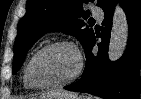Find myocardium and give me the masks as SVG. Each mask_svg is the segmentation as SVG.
Returning a JSON list of instances; mask_svg holds the SVG:
<instances>
[{"instance_id":"f54148a6","label":"myocardium","mask_w":141,"mask_h":99,"mask_svg":"<svg viewBox=\"0 0 141 99\" xmlns=\"http://www.w3.org/2000/svg\"><path fill=\"white\" fill-rule=\"evenodd\" d=\"M56 47H68L74 51V53L76 54V57H77V62H78V66H77L76 71L74 72V74L72 76H70L69 78H67L63 81H60V82L48 83V84H42V83L36 82L32 76V68H33L35 61L44 52H46L47 50H50L52 48H56ZM83 70H84V60H83L82 54H81L80 50L78 49V47L71 41L60 40V41H55V42H52V43H49V44L43 46L32 56L31 60L29 61L28 65H27V68H26V76H27L28 82L33 87H35L37 89H52V88H59V87H63L68 84H71L72 82H74L75 80H77L81 76Z\"/></svg>"}]
</instances>
